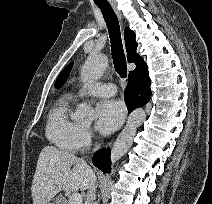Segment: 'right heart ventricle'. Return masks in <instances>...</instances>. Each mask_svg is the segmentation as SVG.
<instances>
[{
    "instance_id": "right-heart-ventricle-1",
    "label": "right heart ventricle",
    "mask_w": 212,
    "mask_h": 204,
    "mask_svg": "<svg viewBox=\"0 0 212 204\" xmlns=\"http://www.w3.org/2000/svg\"><path fill=\"white\" fill-rule=\"evenodd\" d=\"M72 102L71 96L59 99L51 108L46 125L47 139L65 151L78 149V137L82 129L73 117Z\"/></svg>"
}]
</instances>
